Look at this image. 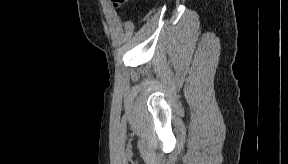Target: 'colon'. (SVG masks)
I'll return each instance as SVG.
<instances>
[{
	"label": "colon",
	"mask_w": 288,
	"mask_h": 164,
	"mask_svg": "<svg viewBox=\"0 0 288 164\" xmlns=\"http://www.w3.org/2000/svg\"><path fill=\"white\" fill-rule=\"evenodd\" d=\"M123 2H124L123 0H114L113 4L117 7H120L123 4Z\"/></svg>",
	"instance_id": "colon-1"
}]
</instances>
